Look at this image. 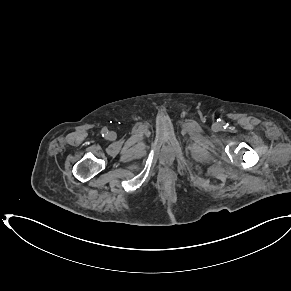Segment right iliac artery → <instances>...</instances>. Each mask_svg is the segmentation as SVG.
Instances as JSON below:
<instances>
[{
    "mask_svg": "<svg viewBox=\"0 0 291 291\" xmlns=\"http://www.w3.org/2000/svg\"><path fill=\"white\" fill-rule=\"evenodd\" d=\"M101 132H102V134H105L107 132V129L103 128Z\"/></svg>",
    "mask_w": 291,
    "mask_h": 291,
    "instance_id": "right-iliac-artery-1",
    "label": "right iliac artery"
}]
</instances>
